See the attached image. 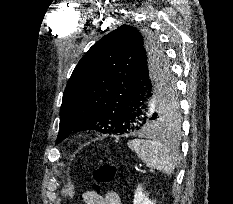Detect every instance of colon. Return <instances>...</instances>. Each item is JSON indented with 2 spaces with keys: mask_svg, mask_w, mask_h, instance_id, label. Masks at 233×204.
Listing matches in <instances>:
<instances>
[{
  "mask_svg": "<svg viewBox=\"0 0 233 204\" xmlns=\"http://www.w3.org/2000/svg\"><path fill=\"white\" fill-rule=\"evenodd\" d=\"M116 175V167L112 164H102L97 167L93 172V191L94 193L100 192L101 184L111 182Z\"/></svg>",
  "mask_w": 233,
  "mask_h": 204,
  "instance_id": "1",
  "label": "colon"
}]
</instances>
